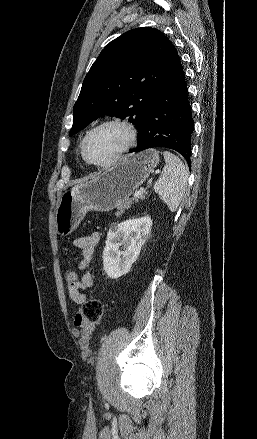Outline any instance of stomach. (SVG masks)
Listing matches in <instances>:
<instances>
[{
	"instance_id": "stomach-1",
	"label": "stomach",
	"mask_w": 257,
	"mask_h": 439,
	"mask_svg": "<svg viewBox=\"0 0 257 439\" xmlns=\"http://www.w3.org/2000/svg\"><path fill=\"white\" fill-rule=\"evenodd\" d=\"M158 163L159 154L155 149L129 154L111 168L63 192L55 214L57 233L61 236L70 234L88 211L109 212L120 206Z\"/></svg>"
}]
</instances>
